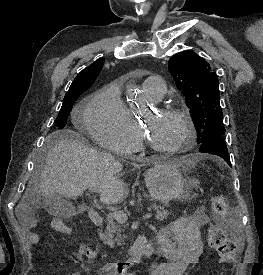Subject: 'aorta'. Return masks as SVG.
<instances>
[{
    "label": "aorta",
    "instance_id": "762f6f07",
    "mask_svg": "<svg viewBox=\"0 0 263 275\" xmlns=\"http://www.w3.org/2000/svg\"><path fill=\"white\" fill-rule=\"evenodd\" d=\"M127 95H128V97H129L130 99L136 98L137 93H136V90L134 89L133 86H129V87L127 88Z\"/></svg>",
    "mask_w": 263,
    "mask_h": 275
}]
</instances>
